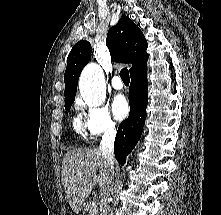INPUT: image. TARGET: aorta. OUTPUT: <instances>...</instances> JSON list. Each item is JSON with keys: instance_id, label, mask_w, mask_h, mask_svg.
<instances>
[{"instance_id": "obj_1", "label": "aorta", "mask_w": 221, "mask_h": 215, "mask_svg": "<svg viewBox=\"0 0 221 215\" xmlns=\"http://www.w3.org/2000/svg\"><path fill=\"white\" fill-rule=\"evenodd\" d=\"M79 89L83 99L92 106H101L106 99V84L103 70L90 63L82 71Z\"/></svg>"}]
</instances>
